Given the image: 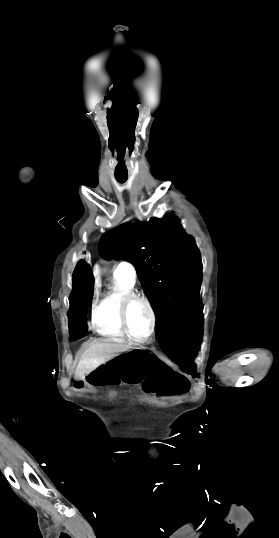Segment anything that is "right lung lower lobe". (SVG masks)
<instances>
[{"mask_svg":"<svg viewBox=\"0 0 279 538\" xmlns=\"http://www.w3.org/2000/svg\"><path fill=\"white\" fill-rule=\"evenodd\" d=\"M93 280L91 267L84 261H80L73 273V289L69 297V327L70 334H87L86 308L93 298Z\"/></svg>","mask_w":279,"mask_h":538,"instance_id":"obj_1","label":"right lung lower lobe"}]
</instances>
